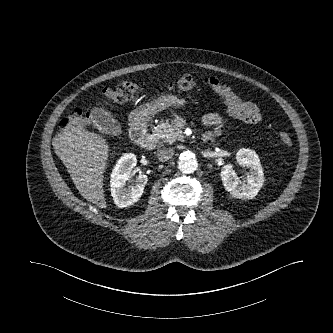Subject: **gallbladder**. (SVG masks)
<instances>
[{"instance_id":"obj_1","label":"gallbladder","mask_w":333,"mask_h":333,"mask_svg":"<svg viewBox=\"0 0 333 333\" xmlns=\"http://www.w3.org/2000/svg\"><path fill=\"white\" fill-rule=\"evenodd\" d=\"M94 126L102 133L118 136L122 134L121 125L103 108H94L91 113Z\"/></svg>"}]
</instances>
